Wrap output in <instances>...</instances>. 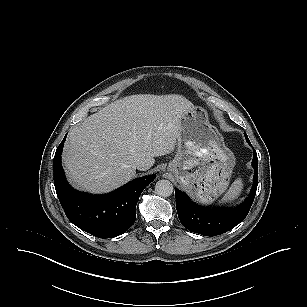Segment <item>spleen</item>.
I'll use <instances>...</instances> for the list:
<instances>
[{
  "mask_svg": "<svg viewBox=\"0 0 307 307\" xmlns=\"http://www.w3.org/2000/svg\"><path fill=\"white\" fill-rule=\"evenodd\" d=\"M243 182L241 178L236 179L226 192L220 203H227L235 200L242 192Z\"/></svg>",
  "mask_w": 307,
  "mask_h": 307,
  "instance_id": "obj_1",
  "label": "spleen"
}]
</instances>
